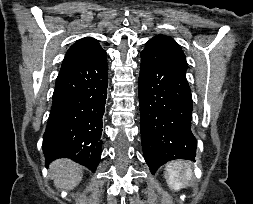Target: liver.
<instances>
[{
	"label": "liver",
	"instance_id": "6515ba94",
	"mask_svg": "<svg viewBox=\"0 0 253 204\" xmlns=\"http://www.w3.org/2000/svg\"><path fill=\"white\" fill-rule=\"evenodd\" d=\"M50 176L57 188L72 190L81 181L83 170L69 159H59L50 165Z\"/></svg>",
	"mask_w": 253,
	"mask_h": 204
}]
</instances>
